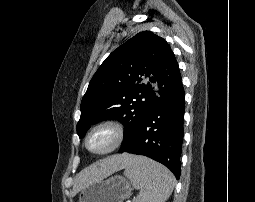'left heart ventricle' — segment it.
<instances>
[{
    "instance_id": "obj_1",
    "label": "left heart ventricle",
    "mask_w": 255,
    "mask_h": 202,
    "mask_svg": "<svg viewBox=\"0 0 255 202\" xmlns=\"http://www.w3.org/2000/svg\"><path fill=\"white\" fill-rule=\"evenodd\" d=\"M113 142V134L107 130L102 129L95 132L89 139V146L94 151H102L107 149Z\"/></svg>"
}]
</instances>
